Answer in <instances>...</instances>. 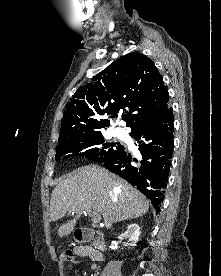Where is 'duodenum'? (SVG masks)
Wrapping results in <instances>:
<instances>
[{
  "mask_svg": "<svg viewBox=\"0 0 221 276\" xmlns=\"http://www.w3.org/2000/svg\"><path fill=\"white\" fill-rule=\"evenodd\" d=\"M74 236L77 242L81 244L91 243L92 248L99 253L105 248V243L103 238L92 229H88V228L77 229L74 232ZM88 247H91V246H88Z\"/></svg>",
  "mask_w": 221,
  "mask_h": 276,
  "instance_id": "1",
  "label": "duodenum"
}]
</instances>
